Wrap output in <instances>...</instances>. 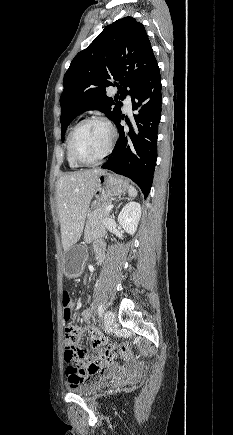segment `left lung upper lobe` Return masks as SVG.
Masks as SVG:
<instances>
[{
    "label": "left lung upper lobe",
    "instance_id": "left-lung-upper-lobe-1",
    "mask_svg": "<svg viewBox=\"0 0 233 435\" xmlns=\"http://www.w3.org/2000/svg\"><path fill=\"white\" fill-rule=\"evenodd\" d=\"M157 64L144 25L132 17L118 19L72 60L64 75L60 96L62 140L73 119L97 109L115 122L122 103L132 95ZM120 82V85L116 83ZM118 87L117 98L106 96L109 86Z\"/></svg>",
    "mask_w": 233,
    "mask_h": 435
}]
</instances>
